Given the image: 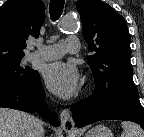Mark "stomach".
<instances>
[{
    "label": "stomach",
    "instance_id": "1",
    "mask_svg": "<svg viewBox=\"0 0 144 137\" xmlns=\"http://www.w3.org/2000/svg\"><path fill=\"white\" fill-rule=\"evenodd\" d=\"M86 137H113V134L108 127L97 125L87 132Z\"/></svg>",
    "mask_w": 144,
    "mask_h": 137
}]
</instances>
